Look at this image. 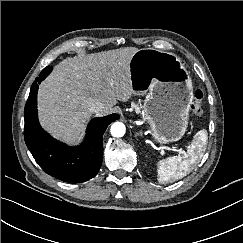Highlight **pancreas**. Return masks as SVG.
<instances>
[{
    "mask_svg": "<svg viewBox=\"0 0 243 243\" xmlns=\"http://www.w3.org/2000/svg\"><path fill=\"white\" fill-rule=\"evenodd\" d=\"M133 107H134L136 110H139V108H138L136 105H133Z\"/></svg>",
    "mask_w": 243,
    "mask_h": 243,
    "instance_id": "pancreas-1",
    "label": "pancreas"
}]
</instances>
